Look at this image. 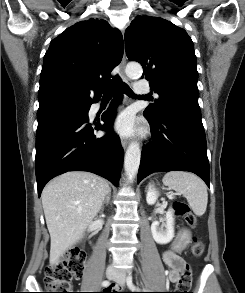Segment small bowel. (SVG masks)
I'll list each match as a JSON object with an SVG mask.
<instances>
[{
	"label": "small bowel",
	"mask_w": 245,
	"mask_h": 293,
	"mask_svg": "<svg viewBox=\"0 0 245 293\" xmlns=\"http://www.w3.org/2000/svg\"><path fill=\"white\" fill-rule=\"evenodd\" d=\"M162 259L168 267L167 277L171 283H176L180 279L182 270L187 266L186 261L180 257L173 249L163 252ZM115 293H126L123 290H118Z\"/></svg>",
	"instance_id": "c3829d8e"
}]
</instances>
